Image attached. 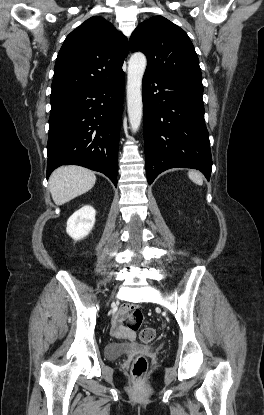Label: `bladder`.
I'll use <instances>...</instances> for the list:
<instances>
[{"label": "bladder", "instance_id": "31cf9c89", "mask_svg": "<svg viewBox=\"0 0 264 415\" xmlns=\"http://www.w3.org/2000/svg\"><path fill=\"white\" fill-rule=\"evenodd\" d=\"M133 351H148V352H155L157 348L155 346L150 345H138L135 343H112L107 344L105 347V355L110 360H117L121 356L131 353Z\"/></svg>", "mask_w": 264, "mask_h": 415}]
</instances>
